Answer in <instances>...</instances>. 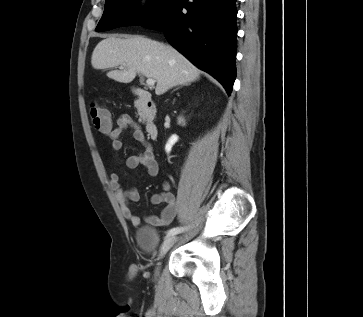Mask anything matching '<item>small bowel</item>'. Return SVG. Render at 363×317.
<instances>
[{
	"instance_id": "small-bowel-1",
	"label": "small bowel",
	"mask_w": 363,
	"mask_h": 317,
	"mask_svg": "<svg viewBox=\"0 0 363 317\" xmlns=\"http://www.w3.org/2000/svg\"><path fill=\"white\" fill-rule=\"evenodd\" d=\"M128 128L133 129V137L136 141L140 142L145 147L143 153L131 155L126 158L125 165L129 169H134L139 166L144 167L150 176H157L159 166L155 158V154L151 144L148 142L144 131L133 121L129 115H122L114 128L105 131L106 135L111 140V148L114 151H119L123 147L121 135ZM110 186L114 190L116 199L120 205L123 216L130 221L133 225L141 224L140 218L133 214L130 208L131 201H138L140 199L139 191L136 188L124 190L120 184V176L118 173L110 175ZM150 202L153 205L165 203L166 206L159 216H150L148 221L159 227H166L174 221L180 204L175 196L170 191V184L168 181L163 182V191L155 193L150 197Z\"/></svg>"
}]
</instances>
